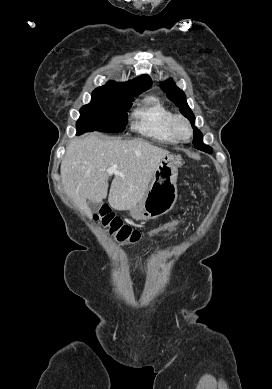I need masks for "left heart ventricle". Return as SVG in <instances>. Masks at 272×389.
Instances as JSON below:
<instances>
[{"label":"left heart ventricle","mask_w":272,"mask_h":389,"mask_svg":"<svg viewBox=\"0 0 272 389\" xmlns=\"http://www.w3.org/2000/svg\"><path fill=\"white\" fill-rule=\"evenodd\" d=\"M179 130H180V132H181L182 134H184V135L187 133L185 126L182 125V124L179 126Z\"/></svg>","instance_id":"b2bd125f"}]
</instances>
